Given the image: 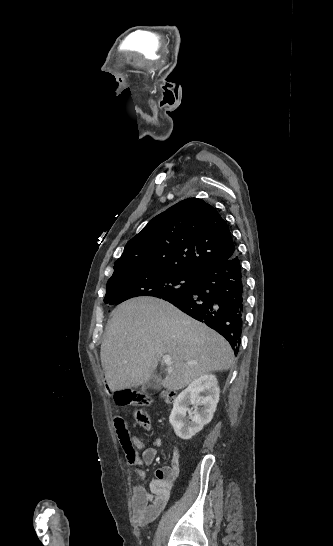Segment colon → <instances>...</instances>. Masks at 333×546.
I'll return each instance as SVG.
<instances>
[{"mask_svg":"<svg viewBox=\"0 0 333 546\" xmlns=\"http://www.w3.org/2000/svg\"><path fill=\"white\" fill-rule=\"evenodd\" d=\"M160 399L165 403H172L175 399V393L170 390H165L161 392ZM116 402L121 406H151L154 403L151 397L130 390L118 392L116 395ZM135 418L140 427L146 430L150 428V418L144 409L137 410ZM115 429L127 459L133 460L136 457V450L122 418L117 417L115 419Z\"/></svg>","mask_w":333,"mask_h":546,"instance_id":"5ec220e1","label":"colon"}]
</instances>
